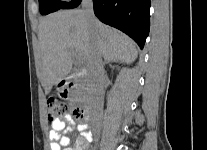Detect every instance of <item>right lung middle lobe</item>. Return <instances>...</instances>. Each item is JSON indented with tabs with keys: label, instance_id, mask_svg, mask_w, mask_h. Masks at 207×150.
I'll return each instance as SVG.
<instances>
[{
	"label": "right lung middle lobe",
	"instance_id": "1",
	"mask_svg": "<svg viewBox=\"0 0 207 150\" xmlns=\"http://www.w3.org/2000/svg\"><path fill=\"white\" fill-rule=\"evenodd\" d=\"M66 2L59 0H39L40 13L43 15L57 11L62 8Z\"/></svg>",
	"mask_w": 207,
	"mask_h": 150
}]
</instances>
